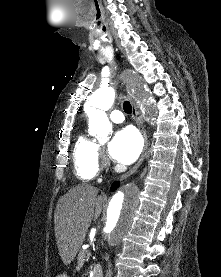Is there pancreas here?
Masks as SVG:
<instances>
[{"label": "pancreas", "mask_w": 221, "mask_h": 277, "mask_svg": "<svg viewBox=\"0 0 221 277\" xmlns=\"http://www.w3.org/2000/svg\"><path fill=\"white\" fill-rule=\"evenodd\" d=\"M90 255L91 253L88 250H82L79 252L77 257L78 268H81L83 266L85 258H89Z\"/></svg>", "instance_id": "obj_1"}]
</instances>
